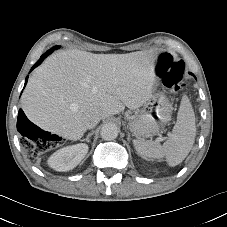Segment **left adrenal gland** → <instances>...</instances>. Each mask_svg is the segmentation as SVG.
I'll use <instances>...</instances> for the list:
<instances>
[{"label": "left adrenal gland", "mask_w": 227, "mask_h": 227, "mask_svg": "<svg viewBox=\"0 0 227 227\" xmlns=\"http://www.w3.org/2000/svg\"><path fill=\"white\" fill-rule=\"evenodd\" d=\"M128 139H130V135L128 134Z\"/></svg>", "instance_id": "obj_1"}]
</instances>
